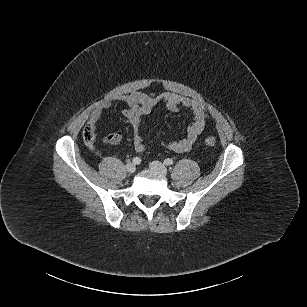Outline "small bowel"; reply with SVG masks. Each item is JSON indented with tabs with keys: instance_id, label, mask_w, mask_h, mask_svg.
<instances>
[{
	"instance_id": "c3829d8e",
	"label": "small bowel",
	"mask_w": 307,
	"mask_h": 307,
	"mask_svg": "<svg viewBox=\"0 0 307 307\" xmlns=\"http://www.w3.org/2000/svg\"><path fill=\"white\" fill-rule=\"evenodd\" d=\"M122 100L125 102V108L122 110V113L131 123L134 149L138 153H143L146 150L141 134L143 117L149 114L152 108L160 102H163L167 109L172 112H177L180 108H186L191 111L194 116L183 138L164 142V146L172 152H188L199 135L203 132L208 119V113L203 103L171 92L163 93L158 96H152L141 92H132L123 96ZM112 105V101H106L97 106L89 117L88 126L94 129L102 112Z\"/></svg>"
}]
</instances>
